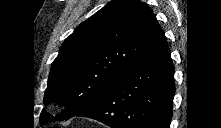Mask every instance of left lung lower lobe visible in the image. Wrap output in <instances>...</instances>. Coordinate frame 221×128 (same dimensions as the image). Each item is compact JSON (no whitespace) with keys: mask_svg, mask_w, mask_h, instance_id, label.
I'll return each instance as SVG.
<instances>
[{"mask_svg":"<svg viewBox=\"0 0 221 128\" xmlns=\"http://www.w3.org/2000/svg\"><path fill=\"white\" fill-rule=\"evenodd\" d=\"M174 67L164 33L103 98L76 116L113 128H169Z\"/></svg>","mask_w":221,"mask_h":128,"instance_id":"1","label":"left lung lower lobe"}]
</instances>
